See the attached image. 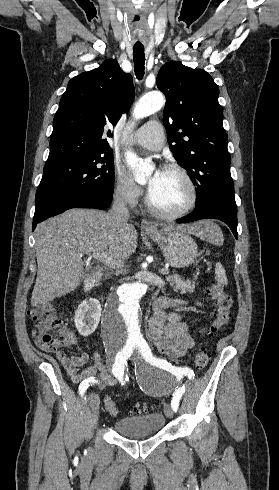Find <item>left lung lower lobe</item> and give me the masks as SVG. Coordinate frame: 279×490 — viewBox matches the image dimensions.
<instances>
[{
  "label": "left lung lower lobe",
  "instance_id": "obj_1",
  "mask_svg": "<svg viewBox=\"0 0 279 490\" xmlns=\"http://www.w3.org/2000/svg\"><path fill=\"white\" fill-rule=\"evenodd\" d=\"M201 219H219L225 222L237 239V208L231 209L227 203L218 200H207L200 208L189 215L177 219V223H188Z\"/></svg>",
  "mask_w": 279,
  "mask_h": 490
}]
</instances>
